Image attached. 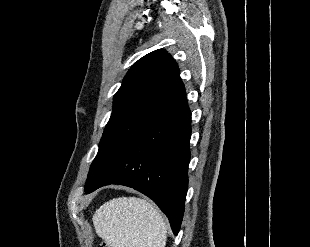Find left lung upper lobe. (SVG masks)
Wrapping results in <instances>:
<instances>
[{"label": "left lung upper lobe", "mask_w": 310, "mask_h": 247, "mask_svg": "<svg viewBox=\"0 0 310 247\" xmlns=\"http://www.w3.org/2000/svg\"><path fill=\"white\" fill-rule=\"evenodd\" d=\"M175 60L165 50L139 59L114 96L113 111L91 164L85 191L98 182L135 139L185 97Z\"/></svg>", "instance_id": "5c2ea615"}]
</instances>
